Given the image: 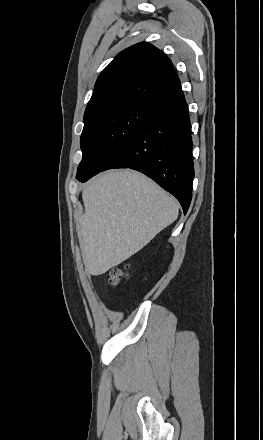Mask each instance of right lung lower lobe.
Returning <instances> with one entry per match:
<instances>
[{"label":"right lung lower lobe","instance_id":"obj_1","mask_svg":"<svg viewBox=\"0 0 263 440\" xmlns=\"http://www.w3.org/2000/svg\"><path fill=\"white\" fill-rule=\"evenodd\" d=\"M192 146L188 106L180 88L154 105L143 126L113 154L102 171H140L174 195L186 213L194 179Z\"/></svg>","mask_w":263,"mask_h":440}]
</instances>
